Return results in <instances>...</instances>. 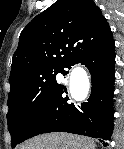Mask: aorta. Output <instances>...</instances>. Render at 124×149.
Segmentation results:
<instances>
[{"mask_svg": "<svg viewBox=\"0 0 124 149\" xmlns=\"http://www.w3.org/2000/svg\"><path fill=\"white\" fill-rule=\"evenodd\" d=\"M84 78H85L84 72L80 69H75L71 73V88L75 86L78 80H83Z\"/></svg>", "mask_w": 124, "mask_h": 149, "instance_id": "aorta-1", "label": "aorta"}]
</instances>
